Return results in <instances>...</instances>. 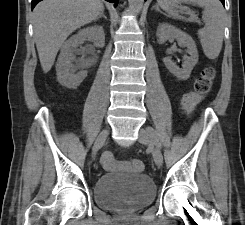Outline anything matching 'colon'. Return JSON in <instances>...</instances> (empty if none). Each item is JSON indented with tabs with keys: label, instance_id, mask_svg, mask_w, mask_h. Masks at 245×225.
Returning <instances> with one entry per match:
<instances>
[{
	"label": "colon",
	"instance_id": "obj_1",
	"mask_svg": "<svg viewBox=\"0 0 245 225\" xmlns=\"http://www.w3.org/2000/svg\"><path fill=\"white\" fill-rule=\"evenodd\" d=\"M215 77L216 72L212 67H206L202 70L200 76L195 81L194 89L185 93L182 98V108L186 115H191L196 105L210 93ZM101 165L107 171L121 167L128 168L137 173L144 170V164L140 160L117 161L111 153L103 154Z\"/></svg>",
	"mask_w": 245,
	"mask_h": 225
}]
</instances>
